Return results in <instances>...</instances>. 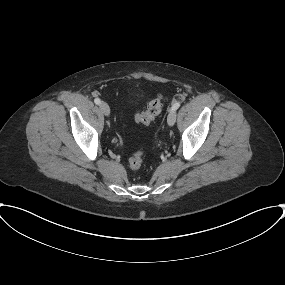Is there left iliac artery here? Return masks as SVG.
Wrapping results in <instances>:
<instances>
[{
  "instance_id": "1",
  "label": "left iliac artery",
  "mask_w": 285,
  "mask_h": 285,
  "mask_svg": "<svg viewBox=\"0 0 285 285\" xmlns=\"http://www.w3.org/2000/svg\"><path fill=\"white\" fill-rule=\"evenodd\" d=\"M179 107H180V102H175V103L172 105L171 110H177Z\"/></svg>"
}]
</instances>
